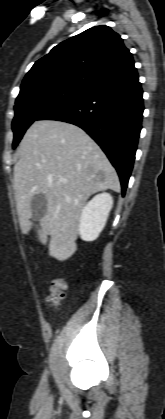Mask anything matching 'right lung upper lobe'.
I'll use <instances>...</instances> for the list:
<instances>
[{
    "label": "right lung upper lobe",
    "instance_id": "obj_1",
    "mask_svg": "<svg viewBox=\"0 0 165 419\" xmlns=\"http://www.w3.org/2000/svg\"><path fill=\"white\" fill-rule=\"evenodd\" d=\"M133 67L132 54L121 37L108 26H96L63 41L35 62L18 97L56 86L89 93Z\"/></svg>",
    "mask_w": 165,
    "mask_h": 419
}]
</instances>
